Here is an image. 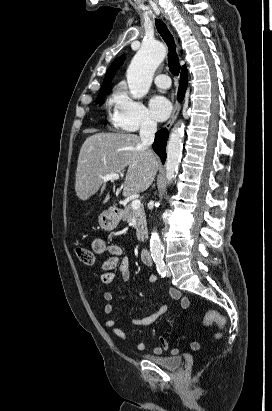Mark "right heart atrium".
Wrapping results in <instances>:
<instances>
[{
	"label": "right heart atrium",
	"mask_w": 272,
	"mask_h": 411,
	"mask_svg": "<svg viewBox=\"0 0 272 411\" xmlns=\"http://www.w3.org/2000/svg\"><path fill=\"white\" fill-rule=\"evenodd\" d=\"M109 121L112 126L125 132L153 129L156 122L142 102L133 98L126 87L115 88L108 101Z\"/></svg>",
	"instance_id": "1"
}]
</instances>
